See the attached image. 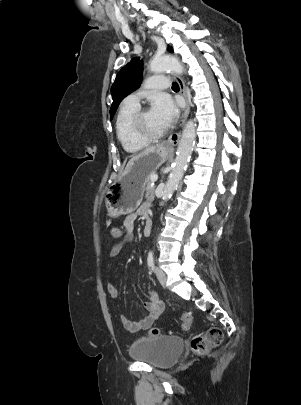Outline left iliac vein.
<instances>
[{"instance_id":"1","label":"left iliac vein","mask_w":301,"mask_h":405,"mask_svg":"<svg viewBox=\"0 0 301 405\" xmlns=\"http://www.w3.org/2000/svg\"><path fill=\"white\" fill-rule=\"evenodd\" d=\"M155 274H156L159 282L161 283V285L165 287L166 281H167L166 274L158 267H155Z\"/></svg>"}]
</instances>
